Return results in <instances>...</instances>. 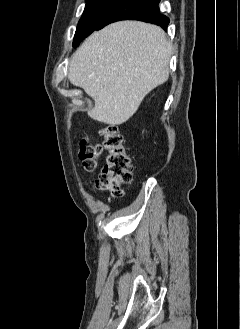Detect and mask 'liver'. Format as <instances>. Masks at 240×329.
I'll return each mask as SVG.
<instances>
[{
    "instance_id": "6515ba94",
    "label": "liver",
    "mask_w": 240,
    "mask_h": 329,
    "mask_svg": "<svg viewBox=\"0 0 240 329\" xmlns=\"http://www.w3.org/2000/svg\"><path fill=\"white\" fill-rule=\"evenodd\" d=\"M172 45L158 26L121 21L92 33L72 56L68 78L95 105L92 119L121 125L169 77Z\"/></svg>"
}]
</instances>
